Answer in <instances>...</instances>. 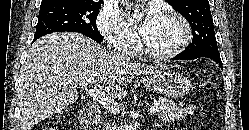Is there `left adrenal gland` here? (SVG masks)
I'll list each match as a JSON object with an SVG mask.
<instances>
[{
	"mask_svg": "<svg viewBox=\"0 0 249 130\" xmlns=\"http://www.w3.org/2000/svg\"><path fill=\"white\" fill-rule=\"evenodd\" d=\"M158 127H159V124H157V123L153 124L154 129H157Z\"/></svg>",
	"mask_w": 249,
	"mask_h": 130,
	"instance_id": "1",
	"label": "left adrenal gland"
}]
</instances>
